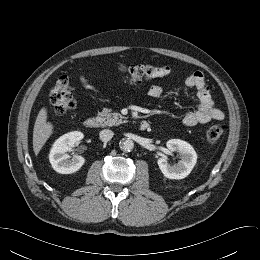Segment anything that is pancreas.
Returning a JSON list of instances; mask_svg holds the SVG:
<instances>
[{
  "label": "pancreas",
  "instance_id": "obj_1",
  "mask_svg": "<svg viewBox=\"0 0 260 260\" xmlns=\"http://www.w3.org/2000/svg\"><path fill=\"white\" fill-rule=\"evenodd\" d=\"M98 118L103 123V126H114L120 125L126 122V117L122 116L118 112H111V109L104 108L98 113Z\"/></svg>",
  "mask_w": 260,
  "mask_h": 260
}]
</instances>
